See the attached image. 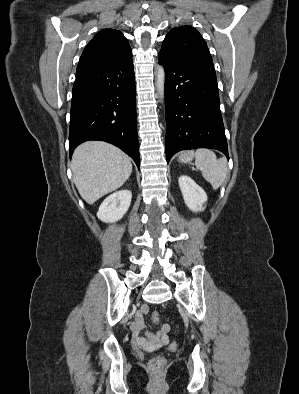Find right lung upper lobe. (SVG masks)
I'll list each match as a JSON object with an SVG mask.
<instances>
[{"mask_svg": "<svg viewBox=\"0 0 299 394\" xmlns=\"http://www.w3.org/2000/svg\"><path fill=\"white\" fill-rule=\"evenodd\" d=\"M131 59L132 51L123 34L117 30L104 29L99 31L85 47L77 71Z\"/></svg>", "mask_w": 299, "mask_h": 394, "instance_id": "obj_1", "label": "right lung upper lobe"}]
</instances>
